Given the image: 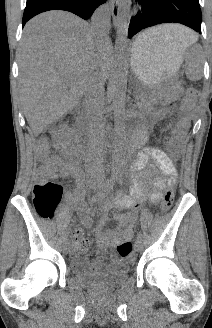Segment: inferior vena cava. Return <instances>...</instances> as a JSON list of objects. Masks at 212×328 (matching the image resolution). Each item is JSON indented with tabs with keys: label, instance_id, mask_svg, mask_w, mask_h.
Here are the masks:
<instances>
[{
	"label": "inferior vena cava",
	"instance_id": "1",
	"mask_svg": "<svg viewBox=\"0 0 212 328\" xmlns=\"http://www.w3.org/2000/svg\"><path fill=\"white\" fill-rule=\"evenodd\" d=\"M92 33L100 39L107 35L110 22L109 9L106 6L99 7L91 18ZM104 97V79L100 73H93L87 83L83 99V115L88 126V151L86 162L90 169L92 179H97L101 174V160L95 149L101 144L104 121L102 106Z\"/></svg>",
	"mask_w": 212,
	"mask_h": 328
}]
</instances>
